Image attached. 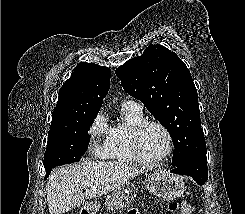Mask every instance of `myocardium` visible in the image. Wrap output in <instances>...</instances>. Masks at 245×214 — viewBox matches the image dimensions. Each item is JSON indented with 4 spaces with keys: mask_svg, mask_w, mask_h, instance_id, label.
Listing matches in <instances>:
<instances>
[{
    "mask_svg": "<svg viewBox=\"0 0 245 214\" xmlns=\"http://www.w3.org/2000/svg\"><path fill=\"white\" fill-rule=\"evenodd\" d=\"M149 126H155L161 129L166 135L168 141V146L165 153L156 159L147 158L142 153L140 147V136L142 132ZM128 140H129L130 150L133 156L136 158V160L148 166H153L162 163L168 157H170L174 149V140L170 130L164 124L154 120H143L139 123L132 125L128 133Z\"/></svg>",
    "mask_w": 245,
    "mask_h": 214,
    "instance_id": "myocardium-1",
    "label": "myocardium"
}]
</instances>
